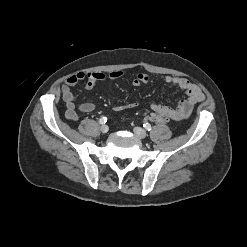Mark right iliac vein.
<instances>
[{"label":"right iliac vein","mask_w":247,"mask_h":247,"mask_svg":"<svg viewBox=\"0 0 247 247\" xmlns=\"http://www.w3.org/2000/svg\"><path fill=\"white\" fill-rule=\"evenodd\" d=\"M100 130H101L102 133H107L108 130H109V128H108L107 125H102V126L100 127Z\"/></svg>","instance_id":"63e3f726"}]
</instances>
